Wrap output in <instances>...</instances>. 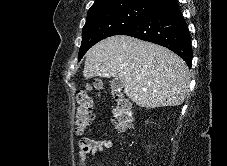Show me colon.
<instances>
[{"instance_id":"obj_1","label":"colon","mask_w":227,"mask_h":166,"mask_svg":"<svg viewBox=\"0 0 227 166\" xmlns=\"http://www.w3.org/2000/svg\"><path fill=\"white\" fill-rule=\"evenodd\" d=\"M102 84L99 80L86 85L77 95V109L75 115V129L77 134H84L92 119V99L91 92L99 90ZM112 121L119 132H125L133 122L132 104L130 100L123 96H117L112 110Z\"/></svg>"}]
</instances>
